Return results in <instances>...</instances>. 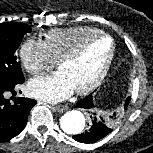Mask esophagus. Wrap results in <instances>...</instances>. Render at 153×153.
Masks as SVG:
<instances>
[{"label": "esophagus", "instance_id": "esophagus-1", "mask_svg": "<svg viewBox=\"0 0 153 153\" xmlns=\"http://www.w3.org/2000/svg\"><path fill=\"white\" fill-rule=\"evenodd\" d=\"M52 109L55 110V111H57V112H59V113H63L68 108L65 105H57V106H53Z\"/></svg>", "mask_w": 153, "mask_h": 153}]
</instances>
